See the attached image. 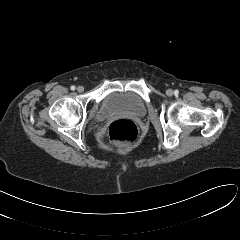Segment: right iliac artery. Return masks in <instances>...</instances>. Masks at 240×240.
I'll return each instance as SVG.
<instances>
[{
	"instance_id": "1",
	"label": "right iliac artery",
	"mask_w": 240,
	"mask_h": 240,
	"mask_svg": "<svg viewBox=\"0 0 240 240\" xmlns=\"http://www.w3.org/2000/svg\"><path fill=\"white\" fill-rule=\"evenodd\" d=\"M76 87L74 85L71 86V90H75Z\"/></svg>"
}]
</instances>
